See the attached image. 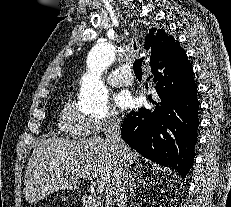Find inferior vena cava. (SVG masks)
<instances>
[{
  "mask_svg": "<svg viewBox=\"0 0 231 207\" xmlns=\"http://www.w3.org/2000/svg\"><path fill=\"white\" fill-rule=\"evenodd\" d=\"M106 141L116 153L121 154L124 143L121 138L120 120L117 116H111L106 127ZM128 192V172L120 168L115 179L114 194L118 207H125Z\"/></svg>",
  "mask_w": 231,
  "mask_h": 207,
  "instance_id": "1",
  "label": "inferior vena cava"
}]
</instances>
